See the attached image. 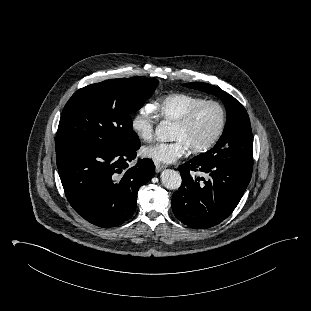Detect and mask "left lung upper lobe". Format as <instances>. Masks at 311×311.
Instances as JSON below:
<instances>
[{
	"instance_id": "1",
	"label": "left lung upper lobe",
	"mask_w": 311,
	"mask_h": 311,
	"mask_svg": "<svg viewBox=\"0 0 311 311\" xmlns=\"http://www.w3.org/2000/svg\"><path fill=\"white\" fill-rule=\"evenodd\" d=\"M184 86L219 96L227 110L226 125L219 141L211 150L197 157L212 160L230 157L253 159V136L244 106L230 94L208 83H186Z\"/></svg>"
}]
</instances>
